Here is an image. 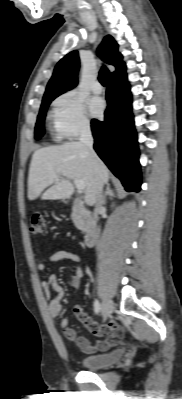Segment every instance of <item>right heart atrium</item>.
<instances>
[{
  "mask_svg": "<svg viewBox=\"0 0 182 399\" xmlns=\"http://www.w3.org/2000/svg\"><path fill=\"white\" fill-rule=\"evenodd\" d=\"M52 119L55 134L61 139L75 138L91 125L84 100L72 90L54 100Z\"/></svg>",
  "mask_w": 182,
  "mask_h": 399,
  "instance_id": "d8ad5b80",
  "label": "right heart atrium"
}]
</instances>
